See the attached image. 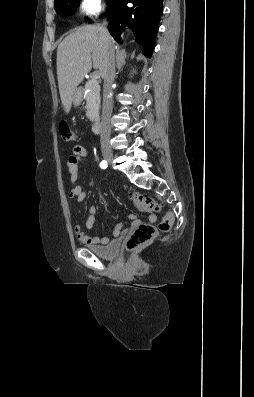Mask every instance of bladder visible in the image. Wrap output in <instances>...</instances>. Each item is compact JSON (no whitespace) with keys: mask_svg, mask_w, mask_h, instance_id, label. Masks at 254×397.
I'll list each match as a JSON object with an SVG mask.
<instances>
[{"mask_svg":"<svg viewBox=\"0 0 254 397\" xmlns=\"http://www.w3.org/2000/svg\"><path fill=\"white\" fill-rule=\"evenodd\" d=\"M89 249L98 257L104 259H113L119 254L120 242L112 241L103 246H90Z\"/></svg>","mask_w":254,"mask_h":397,"instance_id":"31cf9c89","label":"bladder"}]
</instances>
